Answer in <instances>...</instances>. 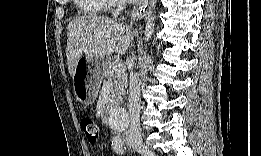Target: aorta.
I'll return each instance as SVG.
<instances>
[{
    "label": "aorta",
    "mask_w": 261,
    "mask_h": 156,
    "mask_svg": "<svg viewBox=\"0 0 261 156\" xmlns=\"http://www.w3.org/2000/svg\"><path fill=\"white\" fill-rule=\"evenodd\" d=\"M154 20H155L154 15H150L147 17V21L144 29V37H143L145 41H149L151 39V36L155 28ZM129 120H130V116L127 114L124 108H120V107L114 108L110 112L109 124L110 127L115 132L120 133L123 132L125 129H127L129 125Z\"/></svg>",
    "instance_id": "aorta-1"
}]
</instances>
